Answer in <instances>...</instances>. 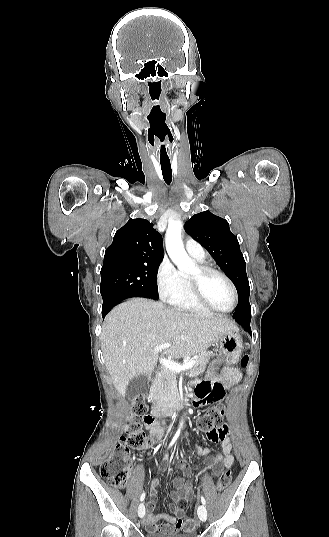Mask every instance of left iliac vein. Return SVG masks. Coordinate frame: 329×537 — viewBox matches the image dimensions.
<instances>
[{"instance_id": "4c4485c4", "label": "left iliac vein", "mask_w": 329, "mask_h": 537, "mask_svg": "<svg viewBox=\"0 0 329 537\" xmlns=\"http://www.w3.org/2000/svg\"><path fill=\"white\" fill-rule=\"evenodd\" d=\"M197 514H198L199 519L202 522H205L207 520V510H206V507L204 505H200L198 507Z\"/></svg>"}]
</instances>
